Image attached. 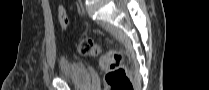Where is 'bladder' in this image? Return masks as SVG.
Segmentation results:
<instances>
[{"mask_svg":"<svg viewBox=\"0 0 209 90\" xmlns=\"http://www.w3.org/2000/svg\"><path fill=\"white\" fill-rule=\"evenodd\" d=\"M58 77L70 81L78 87H91L92 77L90 70L81 62L60 58L58 65Z\"/></svg>","mask_w":209,"mask_h":90,"instance_id":"31cf9c89","label":"bladder"}]
</instances>
